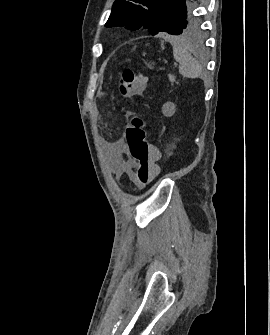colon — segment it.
Here are the masks:
<instances>
[{
	"instance_id": "obj_1",
	"label": "colon",
	"mask_w": 270,
	"mask_h": 335,
	"mask_svg": "<svg viewBox=\"0 0 270 335\" xmlns=\"http://www.w3.org/2000/svg\"><path fill=\"white\" fill-rule=\"evenodd\" d=\"M147 85L146 78L135 69L127 68L120 76V92L122 95H140ZM146 122L135 115L126 127L125 138L131 157L136 161L137 167L133 172V181L140 187L146 186L157 172L155 162H159V148H154V141H146ZM152 148V150H151Z\"/></svg>"
}]
</instances>
